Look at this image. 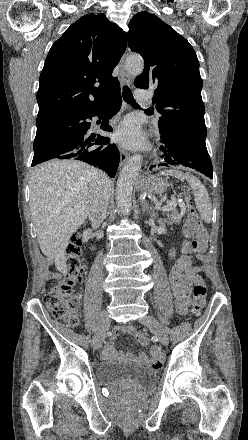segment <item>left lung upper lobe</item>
<instances>
[{
	"label": "left lung upper lobe",
	"mask_w": 248,
	"mask_h": 440,
	"mask_svg": "<svg viewBox=\"0 0 248 440\" xmlns=\"http://www.w3.org/2000/svg\"><path fill=\"white\" fill-rule=\"evenodd\" d=\"M128 46L145 61L138 88H155L161 138L167 133L205 142L199 61L190 43L154 14L140 12L129 23Z\"/></svg>",
	"instance_id": "1"
}]
</instances>
